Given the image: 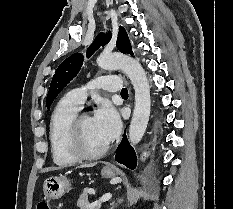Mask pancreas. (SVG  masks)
Instances as JSON below:
<instances>
[{"mask_svg": "<svg viewBox=\"0 0 233 209\" xmlns=\"http://www.w3.org/2000/svg\"><path fill=\"white\" fill-rule=\"evenodd\" d=\"M90 192L89 189L85 188L83 190V193L80 195L78 201H77V206L80 209H100L101 208V202L97 203H90L88 201V193Z\"/></svg>", "mask_w": 233, "mask_h": 209, "instance_id": "1", "label": "pancreas"}]
</instances>
